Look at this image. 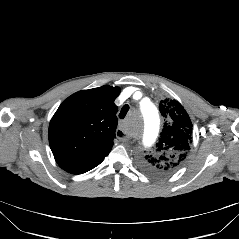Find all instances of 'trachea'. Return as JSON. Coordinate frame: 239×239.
I'll use <instances>...</instances> for the list:
<instances>
[{"mask_svg": "<svg viewBox=\"0 0 239 239\" xmlns=\"http://www.w3.org/2000/svg\"><path fill=\"white\" fill-rule=\"evenodd\" d=\"M128 110H129V106L128 105H124L122 107V109H121V112L119 113V118L123 119L126 116Z\"/></svg>", "mask_w": 239, "mask_h": 239, "instance_id": "1", "label": "trachea"}]
</instances>
